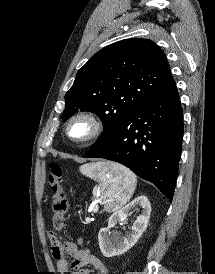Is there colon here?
Returning a JSON list of instances; mask_svg holds the SVG:
<instances>
[{"label":"colon","instance_id":"1","mask_svg":"<svg viewBox=\"0 0 215 274\" xmlns=\"http://www.w3.org/2000/svg\"><path fill=\"white\" fill-rule=\"evenodd\" d=\"M62 168L57 163H52L48 175V182L53 190L52 197V224L56 231L62 229L65 221V214L68 209L67 194L62 184ZM49 238L59 240L56 233L51 232Z\"/></svg>","mask_w":215,"mask_h":274}]
</instances>
